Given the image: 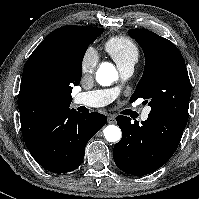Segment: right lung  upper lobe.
Instances as JSON below:
<instances>
[{"instance_id":"1","label":"right lung upper lobe","mask_w":199,"mask_h":199,"mask_svg":"<svg viewBox=\"0 0 199 199\" xmlns=\"http://www.w3.org/2000/svg\"><path fill=\"white\" fill-rule=\"evenodd\" d=\"M67 25L45 37L33 51L23 69L18 108L22 135L25 144L52 133L60 118L75 109H70L72 86L80 83L81 75L76 71L62 74L55 63L71 42L74 29Z\"/></svg>"}]
</instances>
